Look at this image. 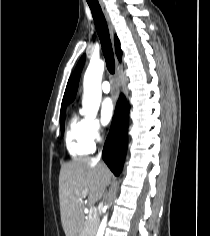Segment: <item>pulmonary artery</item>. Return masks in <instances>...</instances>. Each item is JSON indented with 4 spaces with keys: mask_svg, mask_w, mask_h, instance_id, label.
Segmentation results:
<instances>
[{
    "mask_svg": "<svg viewBox=\"0 0 210 236\" xmlns=\"http://www.w3.org/2000/svg\"><path fill=\"white\" fill-rule=\"evenodd\" d=\"M101 90L104 92V93H109L111 91V87H110V84L109 82H103L102 85H101Z\"/></svg>",
    "mask_w": 210,
    "mask_h": 236,
    "instance_id": "pulmonary-artery-1",
    "label": "pulmonary artery"
}]
</instances>
